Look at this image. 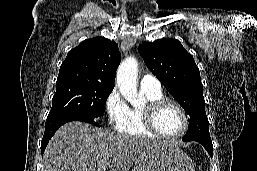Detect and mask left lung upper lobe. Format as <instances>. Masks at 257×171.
<instances>
[{
  "instance_id": "5c2ea615",
  "label": "left lung upper lobe",
  "mask_w": 257,
  "mask_h": 171,
  "mask_svg": "<svg viewBox=\"0 0 257 171\" xmlns=\"http://www.w3.org/2000/svg\"><path fill=\"white\" fill-rule=\"evenodd\" d=\"M139 52L148 69L190 117L188 131L182 140H211L200 72L193 57L176 39L143 43Z\"/></svg>"
}]
</instances>
